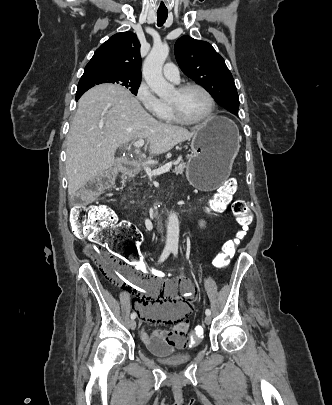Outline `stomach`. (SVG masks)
<instances>
[{
	"mask_svg": "<svg viewBox=\"0 0 332 405\" xmlns=\"http://www.w3.org/2000/svg\"><path fill=\"white\" fill-rule=\"evenodd\" d=\"M198 127L191 140L187 178L197 188L215 190L231 173L240 148L238 128L222 116L210 117Z\"/></svg>",
	"mask_w": 332,
	"mask_h": 405,
	"instance_id": "obj_1",
	"label": "stomach"
}]
</instances>
